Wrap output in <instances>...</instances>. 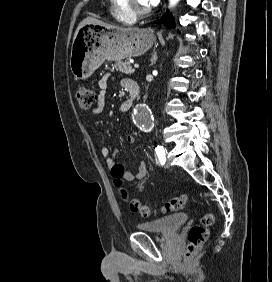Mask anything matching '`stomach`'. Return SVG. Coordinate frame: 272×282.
I'll return each mask as SVG.
<instances>
[{"label":"stomach","instance_id":"1","mask_svg":"<svg viewBox=\"0 0 272 282\" xmlns=\"http://www.w3.org/2000/svg\"><path fill=\"white\" fill-rule=\"evenodd\" d=\"M155 42L150 29H113L99 24H87L78 30L73 40L70 68L76 80L88 78L105 60L140 56Z\"/></svg>","mask_w":272,"mask_h":282}]
</instances>
